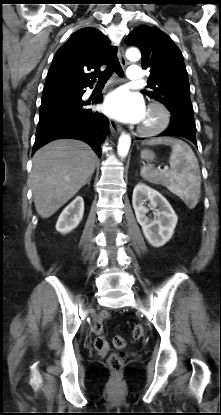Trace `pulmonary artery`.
Here are the masks:
<instances>
[{
  "mask_svg": "<svg viewBox=\"0 0 221 415\" xmlns=\"http://www.w3.org/2000/svg\"><path fill=\"white\" fill-rule=\"evenodd\" d=\"M127 78L131 81H137L141 78V68L137 65H131L127 68Z\"/></svg>",
  "mask_w": 221,
  "mask_h": 415,
  "instance_id": "e3ab8cb5",
  "label": "pulmonary artery"
}]
</instances>
